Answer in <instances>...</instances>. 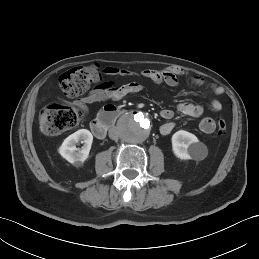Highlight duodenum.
Returning <instances> with one entry per match:
<instances>
[{"instance_id":"1","label":"duodenum","mask_w":259,"mask_h":259,"mask_svg":"<svg viewBox=\"0 0 259 259\" xmlns=\"http://www.w3.org/2000/svg\"><path fill=\"white\" fill-rule=\"evenodd\" d=\"M124 113V110L119 109L114 105H107L103 107L97 117L92 120L90 124L93 135L99 139L104 138L114 121Z\"/></svg>"}]
</instances>
